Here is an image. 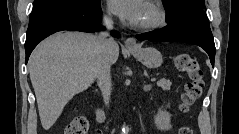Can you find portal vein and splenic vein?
I'll use <instances>...</instances> for the list:
<instances>
[{"instance_id": "obj_1", "label": "portal vein and splenic vein", "mask_w": 239, "mask_h": 134, "mask_svg": "<svg viewBox=\"0 0 239 134\" xmlns=\"http://www.w3.org/2000/svg\"><path fill=\"white\" fill-rule=\"evenodd\" d=\"M155 80H156V78H152V79H151V81H155Z\"/></svg>"}]
</instances>
